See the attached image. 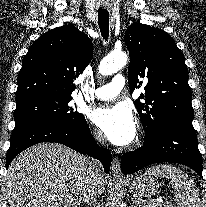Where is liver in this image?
Returning <instances> with one entry per match:
<instances>
[{
  "mask_svg": "<svg viewBox=\"0 0 206 207\" xmlns=\"http://www.w3.org/2000/svg\"><path fill=\"white\" fill-rule=\"evenodd\" d=\"M89 178V158L61 144L40 143L12 161L5 194L9 207H78ZM107 183L102 174L99 195Z\"/></svg>",
  "mask_w": 206,
  "mask_h": 207,
  "instance_id": "6515ba94",
  "label": "liver"
}]
</instances>
